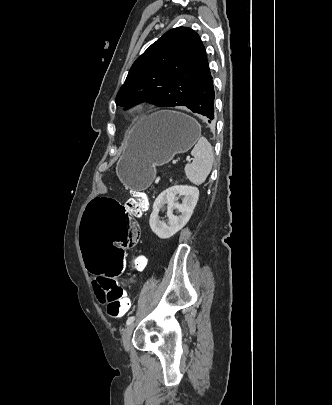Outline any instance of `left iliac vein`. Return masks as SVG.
<instances>
[{"instance_id":"1","label":"left iliac vein","mask_w":332,"mask_h":405,"mask_svg":"<svg viewBox=\"0 0 332 405\" xmlns=\"http://www.w3.org/2000/svg\"><path fill=\"white\" fill-rule=\"evenodd\" d=\"M134 327H135V324L131 323L130 325H128L126 327V329L123 332L122 343H123V346L126 351H128L130 349V339H131V335L133 333Z\"/></svg>"}]
</instances>
